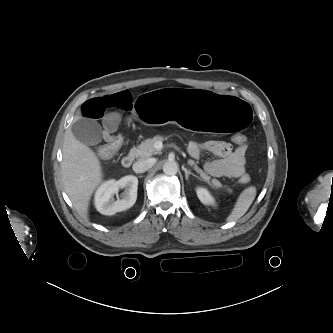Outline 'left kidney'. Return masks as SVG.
<instances>
[{
	"instance_id": "1",
	"label": "left kidney",
	"mask_w": 333,
	"mask_h": 333,
	"mask_svg": "<svg viewBox=\"0 0 333 333\" xmlns=\"http://www.w3.org/2000/svg\"><path fill=\"white\" fill-rule=\"evenodd\" d=\"M197 196L199 200L205 205H214V198L210 195V193L205 188L197 189Z\"/></svg>"
}]
</instances>
